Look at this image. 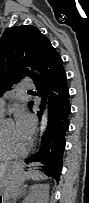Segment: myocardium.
I'll return each mask as SVG.
<instances>
[{
  "mask_svg": "<svg viewBox=\"0 0 89 203\" xmlns=\"http://www.w3.org/2000/svg\"><path fill=\"white\" fill-rule=\"evenodd\" d=\"M0 145H1L4 155L7 158H18V157L23 156L27 152V150L29 149V147L31 145V141L30 140L27 141L26 146L18 152H14V153L9 152L8 149L6 148L5 138L3 135V126H2L0 129Z\"/></svg>",
  "mask_w": 89,
  "mask_h": 203,
  "instance_id": "obj_1",
  "label": "myocardium"
}]
</instances>
